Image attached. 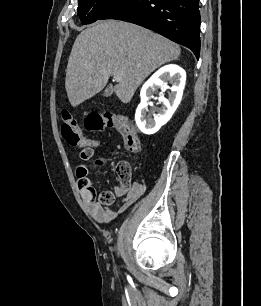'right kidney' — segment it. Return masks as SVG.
Here are the masks:
<instances>
[{
    "label": "right kidney",
    "instance_id": "1",
    "mask_svg": "<svg viewBox=\"0 0 261 306\" xmlns=\"http://www.w3.org/2000/svg\"><path fill=\"white\" fill-rule=\"evenodd\" d=\"M170 82L171 93L169 98L166 99L163 94L159 96V102L163 104L162 109L154 118H147L145 112L149 104V100L153 97V92L158 88H169L167 82ZM186 82V73L178 65L169 64L160 68L154 73L150 79L143 85L140 96L141 102L137 107L135 114V121L138 128L144 134H154L161 126L166 124L181 102L183 90Z\"/></svg>",
    "mask_w": 261,
    "mask_h": 306
}]
</instances>
